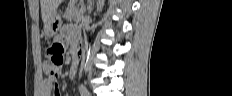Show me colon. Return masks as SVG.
I'll return each mask as SVG.
<instances>
[{
    "label": "colon",
    "instance_id": "5ec220e1",
    "mask_svg": "<svg viewBox=\"0 0 232 96\" xmlns=\"http://www.w3.org/2000/svg\"><path fill=\"white\" fill-rule=\"evenodd\" d=\"M47 55L50 58L51 65L49 67V73L53 76H57L64 64V48L60 44H53L48 50Z\"/></svg>",
    "mask_w": 232,
    "mask_h": 96
}]
</instances>
